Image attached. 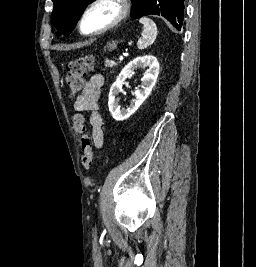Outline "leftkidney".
<instances>
[{
  "instance_id": "1",
  "label": "left kidney",
  "mask_w": 256,
  "mask_h": 267,
  "mask_svg": "<svg viewBox=\"0 0 256 267\" xmlns=\"http://www.w3.org/2000/svg\"><path fill=\"white\" fill-rule=\"evenodd\" d=\"M137 68H147L143 78H141V90L132 92L133 96H135V100L131 102L127 110H120V106H118L119 100L116 96L121 92L125 80L130 78L131 74H133ZM159 70V62L155 56H138V58H134L132 62H129L127 66H124L119 76H117L116 82L112 84L109 92L108 106L114 120H117V122L127 120L131 114H134V112L140 108L141 104H143L149 94H151L156 84Z\"/></svg>"
}]
</instances>
